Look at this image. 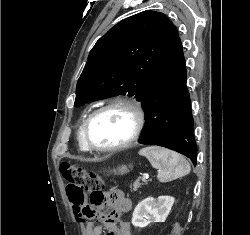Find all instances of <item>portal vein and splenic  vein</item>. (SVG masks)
<instances>
[{
  "label": "portal vein and splenic vein",
  "instance_id": "obj_1",
  "mask_svg": "<svg viewBox=\"0 0 250 235\" xmlns=\"http://www.w3.org/2000/svg\"><path fill=\"white\" fill-rule=\"evenodd\" d=\"M148 179V176L147 175H144L143 177H142V181H146Z\"/></svg>",
  "mask_w": 250,
  "mask_h": 235
}]
</instances>
